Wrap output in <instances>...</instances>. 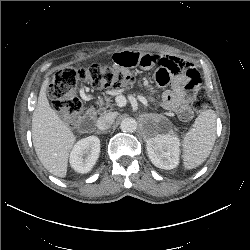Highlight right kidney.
<instances>
[{
    "label": "right kidney",
    "instance_id": "obj_1",
    "mask_svg": "<svg viewBox=\"0 0 250 250\" xmlns=\"http://www.w3.org/2000/svg\"><path fill=\"white\" fill-rule=\"evenodd\" d=\"M100 153V140L89 136L79 140L70 154V165L78 173H88L95 165Z\"/></svg>",
    "mask_w": 250,
    "mask_h": 250
}]
</instances>
